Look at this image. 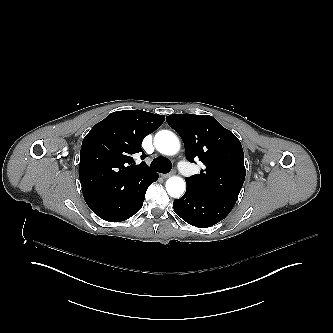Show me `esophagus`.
<instances>
[{
    "mask_svg": "<svg viewBox=\"0 0 333 333\" xmlns=\"http://www.w3.org/2000/svg\"><path fill=\"white\" fill-rule=\"evenodd\" d=\"M174 174V171H172V172H170V173H168V174H162L161 176L163 177V178H168V177H170L171 175H173Z\"/></svg>",
    "mask_w": 333,
    "mask_h": 333,
    "instance_id": "obj_1",
    "label": "esophagus"
}]
</instances>
